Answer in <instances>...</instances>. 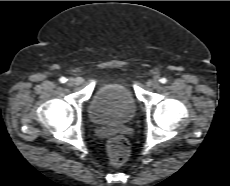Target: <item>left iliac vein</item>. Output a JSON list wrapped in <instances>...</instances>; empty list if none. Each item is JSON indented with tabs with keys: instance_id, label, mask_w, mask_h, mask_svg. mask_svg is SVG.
<instances>
[{
	"instance_id": "obj_1",
	"label": "left iliac vein",
	"mask_w": 230,
	"mask_h": 186,
	"mask_svg": "<svg viewBox=\"0 0 230 186\" xmlns=\"http://www.w3.org/2000/svg\"><path fill=\"white\" fill-rule=\"evenodd\" d=\"M151 86L156 89L160 86V81L158 79H155L151 82Z\"/></svg>"
}]
</instances>
